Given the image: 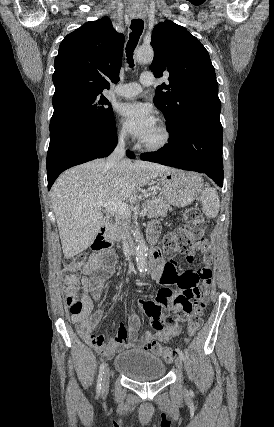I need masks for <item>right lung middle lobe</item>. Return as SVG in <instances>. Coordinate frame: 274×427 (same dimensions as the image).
<instances>
[{
  "label": "right lung middle lobe",
  "instance_id": "dd1d6c3e",
  "mask_svg": "<svg viewBox=\"0 0 274 427\" xmlns=\"http://www.w3.org/2000/svg\"><path fill=\"white\" fill-rule=\"evenodd\" d=\"M50 139L59 129L73 124H103L113 119L110 102L101 93L66 94L53 102Z\"/></svg>",
  "mask_w": 274,
  "mask_h": 427
}]
</instances>
